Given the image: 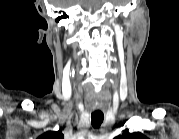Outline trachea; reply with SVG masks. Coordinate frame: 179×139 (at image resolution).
Listing matches in <instances>:
<instances>
[{
  "mask_svg": "<svg viewBox=\"0 0 179 139\" xmlns=\"http://www.w3.org/2000/svg\"><path fill=\"white\" fill-rule=\"evenodd\" d=\"M104 119V114L101 111H96L91 114L92 126L98 128Z\"/></svg>",
  "mask_w": 179,
  "mask_h": 139,
  "instance_id": "obj_1",
  "label": "trachea"
}]
</instances>
